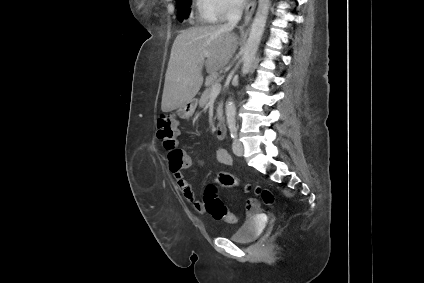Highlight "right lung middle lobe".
I'll return each mask as SVG.
<instances>
[{
    "label": "right lung middle lobe",
    "mask_w": 424,
    "mask_h": 283,
    "mask_svg": "<svg viewBox=\"0 0 424 283\" xmlns=\"http://www.w3.org/2000/svg\"><path fill=\"white\" fill-rule=\"evenodd\" d=\"M190 5L191 0H177V15L180 21H182L184 17L186 18L188 16L190 12Z\"/></svg>",
    "instance_id": "1"
}]
</instances>
